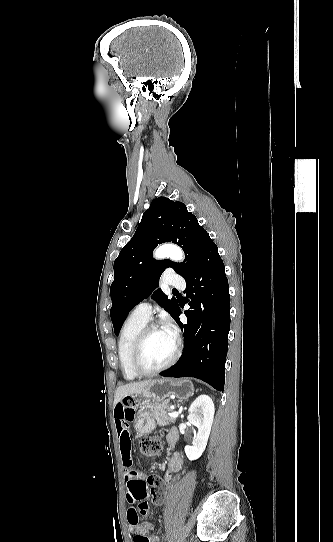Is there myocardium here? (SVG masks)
<instances>
[{
  "label": "myocardium",
  "instance_id": "myocardium-1",
  "mask_svg": "<svg viewBox=\"0 0 333 542\" xmlns=\"http://www.w3.org/2000/svg\"><path fill=\"white\" fill-rule=\"evenodd\" d=\"M160 328L161 327L159 325H156V324L146 325L140 331V333L138 334L137 338L135 339V341H134V343L132 345L131 353H130V365H131V368L134 371V373L139 375V376H153V375H156V374L162 372L163 370H165V369L169 368L171 365H173L177 361V359H178V357L180 355L181 341L177 337L175 339L174 351H173L172 355L170 356V358L165 363H163L162 365H160V366H158V367H156L154 369H150V370L144 369L141 366L140 358H141V354H142V351H143L144 344H145L148 336L153 331L158 330Z\"/></svg>",
  "mask_w": 333,
  "mask_h": 542
}]
</instances>
